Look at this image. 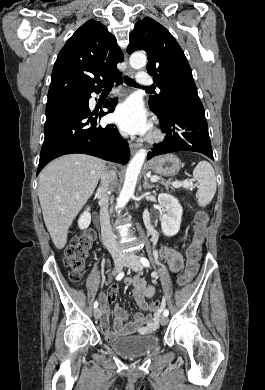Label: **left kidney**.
<instances>
[{
    "mask_svg": "<svg viewBox=\"0 0 265 390\" xmlns=\"http://www.w3.org/2000/svg\"><path fill=\"white\" fill-rule=\"evenodd\" d=\"M158 202L165 208L161 217V228L165 236L176 235L180 230L183 214L182 206L177 198L170 194L161 193L158 195Z\"/></svg>",
    "mask_w": 265,
    "mask_h": 390,
    "instance_id": "left-kidney-1",
    "label": "left kidney"
}]
</instances>
